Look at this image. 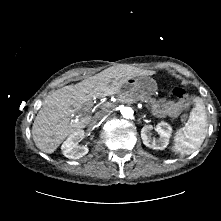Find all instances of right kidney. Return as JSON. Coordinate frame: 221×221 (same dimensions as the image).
<instances>
[{
	"instance_id": "right-kidney-1",
	"label": "right kidney",
	"mask_w": 221,
	"mask_h": 221,
	"mask_svg": "<svg viewBox=\"0 0 221 221\" xmlns=\"http://www.w3.org/2000/svg\"><path fill=\"white\" fill-rule=\"evenodd\" d=\"M84 136L85 133L83 130L71 134L61 146L63 155L69 159H79L86 155L89 151L88 147L78 146V142H80Z\"/></svg>"
}]
</instances>
